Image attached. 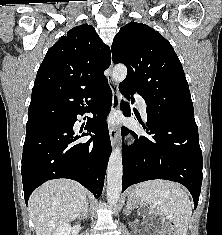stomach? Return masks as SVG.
Segmentation results:
<instances>
[{
    "label": "stomach",
    "instance_id": "stomach-1",
    "mask_svg": "<svg viewBox=\"0 0 222 235\" xmlns=\"http://www.w3.org/2000/svg\"><path fill=\"white\" fill-rule=\"evenodd\" d=\"M142 201V198L136 193V190L132 191L128 196V203L133 206L140 204Z\"/></svg>",
    "mask_w": 222,
    "mask_h": 235
}]
</instances>
